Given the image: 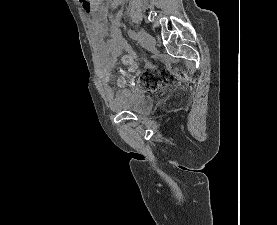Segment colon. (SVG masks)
<instances>
[{
	"instance_id": "colon-1",
	"label": "colon",
	"mask_w": 277,
	"mask_h": 225,
	"mask_svg": "<svg viewBox=\"0 0 277 225\" xmlns=\"http://www.w3.org/2000/svg\"><path fill=\"white\" fill-rule=\"evenodd\" d=\"M133 63L132 57L125 55L122 58V71L125 72L126 68L130 67ZM157 74L153 69H144L136 72L130 78V84L137 89L145 92H152L157 88Z\"/></svg>"
}]
</instances>
